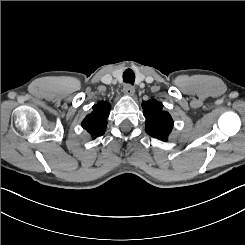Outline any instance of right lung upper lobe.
Here are the masks:
<instances>
[{"label":"right lung upper lobe","mask_w":245,"mask_h":245,"mask_svg":"<svg viewBox=\"0 0 245 245\" xmlns=\"http://www.w3.org/2000/svg\"><path fill=\"white\" fill-rule=\"evenodd\" d=\"M110 104L100 101L93 106V112L85 117L82 127L88 131L92 137H97L105 133L107 127V117L109 115Z\"/></svg>","instance_id":"1"}]
</instances>
